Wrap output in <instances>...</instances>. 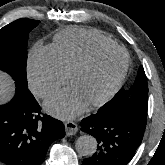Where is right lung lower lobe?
Masks as SVG:
<instances>
[{
  "label": "right lung lower lobe",
  "instance_id": "98d812e1",
  "mask_svg": "<svg viewBox=\"0 0 165 165\" xmlns=\"http://www.w3.org/2000/svg\"><path fill=\"white\" fill-rule=\"evenodd\" d=\"M14 98L0 105V161L7 165H41L50 144L65 136L59 120L41 114L28 87L15 82Z\"/></svg>",
  "mask_w": 165,
  "mask_h": 165
}]
</instances>
